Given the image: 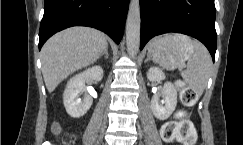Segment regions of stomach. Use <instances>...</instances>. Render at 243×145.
<instances>
[{
    "instance_id": "stomach-1",
    "label": "stomach",
    "mask_w": 243,
    "mask_h": 145,
    "mask_svg": "<svg viewBox=\"0 0 243 145\" xmlns=\"http://www.w3.org/2000/svg\"><path fill=\"white\" fill-rule=\"evenodd\" d=\"M194 53L192 40L186 36L169 34L152 41L148 55L166 69H174L189 59Z\"/></svg>"
}]
</instances>
